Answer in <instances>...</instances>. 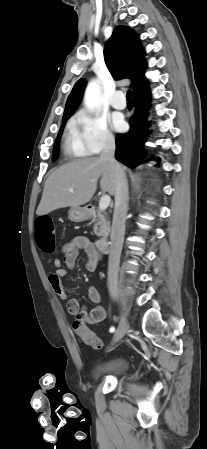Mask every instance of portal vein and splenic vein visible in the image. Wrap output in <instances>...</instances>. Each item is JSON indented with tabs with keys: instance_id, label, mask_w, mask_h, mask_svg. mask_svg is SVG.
Masks as SVG:
<instances>
[{
	"instance_id": "obj_1",
	"label": "portal vein and splenic vein",
	"mask_w": 207,
	"mask_h": 449,
	"mask_svg": "<svg viewBox=\"0 0 207 449\" xmlns=\"http://www.w3.org/2000/svg\"><path fill=\"white\" fill-rule=\"evenodd\" d=\"M110 201H111V198L109 195H103L99 202V209L100 210L107 209L110 204Z\"/></svg>"
}]
</instances>
